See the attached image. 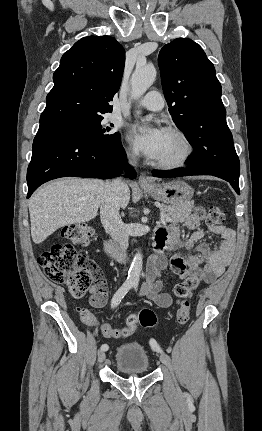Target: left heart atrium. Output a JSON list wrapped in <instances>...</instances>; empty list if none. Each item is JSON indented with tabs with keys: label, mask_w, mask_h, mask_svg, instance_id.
Returning a JSON list of instances; mask_svg holds the SVG:
<instances>
[{
	"label": "left heart atrium",
	"mask_w": 262,
	"mask_h": 431,
	"mask_svg": "<svg viewBox=\"0 0 262 431\" xmlns=\"http://www.w3.org/2000/svg\"><path fill=\"white\" fill-rule=\"evenodd\" d=\"M166 131L159 126L135 124L129 130V139L147 157L156 159L164 143Z\"/></svg>",
	"instance_id": "39dd6f15"
}]
</instances>
